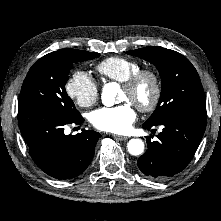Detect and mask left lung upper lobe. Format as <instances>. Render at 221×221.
<instances>
[{"mask_svg":"<svg viewBox=\"0 0 221 221\" xmlns=\"http://www.w3.org/2000/svg\"><path fill=\"white\" fill-rule=\"evenodd\" d=\"M127 54L153 63L162 80L158 106L144 124L154 126L180 111L206 108L199 75L183 55L159 46L136 49Z\"/></svg>","mask_w":221,"mask_h":221,"instance_id":"5c2ea615","label":"left lung upper lobe"}]
</instances>
